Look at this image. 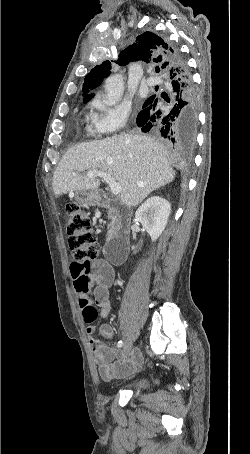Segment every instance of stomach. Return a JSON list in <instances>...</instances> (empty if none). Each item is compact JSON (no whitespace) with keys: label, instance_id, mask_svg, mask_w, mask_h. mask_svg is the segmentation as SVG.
<instances>
[{"label":"stomach","instance_id":"1","mask_svg":"<svg viewBox=\"0 0 250 454\" xmlns=\"http://www.w3.org/2000/svg\"><path fill=\"white\" fill-rule=\"evenodd\" d=\"M77 199L85 204L97 205L100 203L101 198L97 190L79 191Z\"/></svg>","mask_w":250,"mask_h":454}]
</instances>
